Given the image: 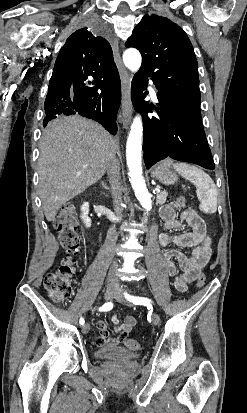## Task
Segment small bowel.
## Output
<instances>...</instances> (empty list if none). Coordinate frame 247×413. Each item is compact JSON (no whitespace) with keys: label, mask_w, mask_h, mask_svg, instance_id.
Segmentation results:
<instances>
[{"label":"small bowel","mask_w":247,"mask_h":413,"mask_svg":"<svg viewBox=\"0 0 247 413\" xmlns=\"http://www.w3.org/2000/svg\"><path fill=\"white\" fill-rule=\"evenodd\" d=\"M161 216L166 231L184 227L185 225H188L191 228L190 232L178 235H172L168 232H163L159 235V244L162 247H166L173 243L178 247L191 249L189 256L184 255L178 250H168L163 255L166 270L170 276L174 277L173 284L175 289L179 292H185L188 283L196 280L199 271L202 270L207 262L204 258V254L208 249L207 239L209 238L206 233V226L201 216L192 207L184 209L179 218H177L175 207L166 205L161 210ZM175 261L178 263L181 272H179ZM111 321L113 323V332L122 333V335H109L107 324L104 321H99L96 324L99 336L97 347L99 349H104L106 347L104 338L107 337L109 341L108 347L110 349H119L121 346L120 342L124 341V336H128L129 332H131L136 325L135 317L130 315L126 316L122 323L117 315H113Z\"/></svg>","instance_id":"1"}]
</instances>
